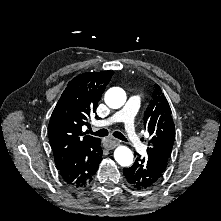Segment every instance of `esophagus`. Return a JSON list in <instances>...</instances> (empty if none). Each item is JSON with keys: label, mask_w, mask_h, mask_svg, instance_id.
<instances>
[{"label": "esophagus", "mask_w": 221, "mask_h": 221, "mask_svg": "<svg viewBox=\"0 0 221 221\" xmlns=\"http://www.w3.org/2000/svg\"><path fill=\"white\" fill-rule=\"evenodd\" d=\"M119 144H120V141H118L116 139H111V138H108V139L104 140V142H103V146L106 149H113L115 146H117Z\"/></svg>", "instance_id": "1"}]
</instances>
